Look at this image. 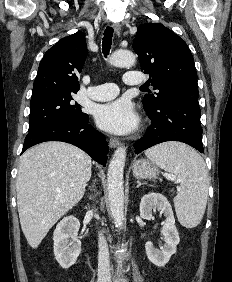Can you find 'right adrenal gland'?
I'll list each match as a JSON object with an SVG mask.
<instances>
[{
	"instance_id": "right-adrenal-gland-1",
	"label": "right adrenal gland",
	"mask_w": 232,
	"mask_h": 282,
	"mask_svg": "<svg viewBox=\"0 0 232 282\" xmlns=\"http://www.w3.org/2000/svg\"><path fill=\"white\" fill-rule=\"evenodd\" d=\"M93 188H94V187H93ZM93 190H94V193H95V194H94V195H89V196H88L90 200H93V199L95 198V196L98 194V192L96 191V189H95V188H94Z\"/></svg>"
}]
</instances>
